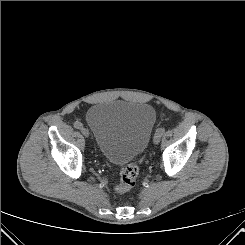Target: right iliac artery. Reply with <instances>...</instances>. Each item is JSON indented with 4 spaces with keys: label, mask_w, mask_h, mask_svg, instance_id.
I'll return each mask as SVG.
<instances>
[{
    "label": "right iliac artery",
    "mask_w": 245,
    "mask_h": 245,
    "mask_svg": "<svg viewBox=\"0 0 245 245\" xmlns=\"http://www.w3.org/2000/svg\"><path fill=\"white\" fill-rule=\"evenodd\" d=\"M74 127H75L76 129H81V128L83 127V125H82L81 122L76 121V122H74Z\"/></svg>",
    "instance_id": "obj_1"
}]
</instances>
